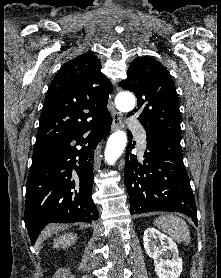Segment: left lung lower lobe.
I'll return each mask as SVG.
<instances>
[{"mask_svg":"<svg viewBox=\"0 0 221 278\" xmlns=\"http://www.w3.org/2000/svg\"><path fill=\"white\" fill-rule=\"evenodd\" d=\"M133 145L126 149L124 171L131 214L176 211L190 216L197 225V208L183 163L180 138L147 136L142 162L131 153Z\"/></svg>","mask_w":221,"mask_h":278,"instance_id":"left-lung-lower-lobe-1","label":"left lung lower lobe"}]
</instances>
